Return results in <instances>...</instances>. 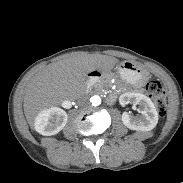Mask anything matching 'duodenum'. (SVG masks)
Here are the masks:
<instances>
[{
  "label": "duodenum",
  "instance_id": "410a0bca",
  "mask_svg": "<svg viewBox=\"0 0 183 183\" xmlns=\"http://www.w3.org/2000/svg\"><path fill=\"white\" fill-rule=\"evenodd\" d=\"M102 76V72L100 70H91L89 73H88V80L90 83H95L97 82ZM109 101L112 100V97H109L108 98Z\"/></svg>",
  "mask_w": 183,
  "mask_h": 183
}]
</instances>
